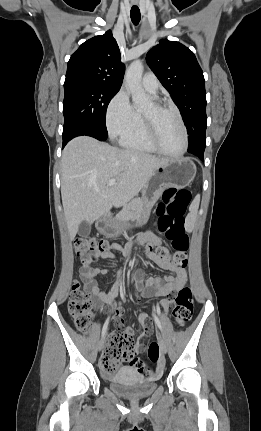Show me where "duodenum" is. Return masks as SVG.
I'll use <instances>...</instances> for the list:
<instances>
[{"label":"duodenum","mask_w":261,"mask_h":431,"mask_svg":"<svg viewBox=\"0 0 261 431\" xmlns=\"http://www.w3.org/2000/svg\"><path fill=\"white\" fill-rule=\"evenodd\" d=\"M99 226L102 228H108L109 227V220L107 218H103L99 221Z\"/></svg>","instance_id":"duodenum-1"}]
</instances>
